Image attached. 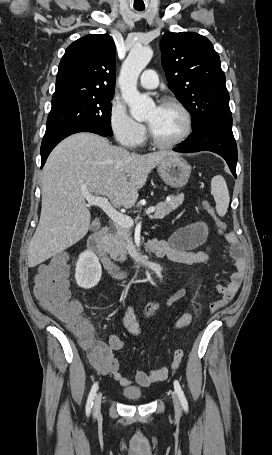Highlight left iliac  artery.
<instances>
[{
	"mask_svg": "<svg viewBox=\"0 0 272 455\" xmlns=\"http://www.w3.org/2000/svg\"><path fill=\"white\" fill-rule=\"evenodd\" d=\"M174 389H175L176 393L178 394V397L180 399L183 409L185 411H188V402H187L184 392L180 386V383L177 380H174Z\"/></svg>",
	"mask_w": 272,
	"mask_h": 455,
	"instance_id": "1",
	"label": "left iliac artery"
}]
</instances>
